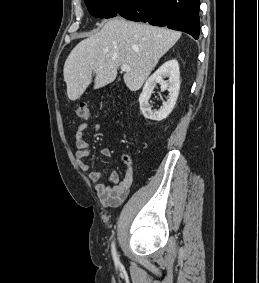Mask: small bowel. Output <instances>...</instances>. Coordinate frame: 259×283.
<instances>
[{
  "mask_svg": "<svg viewBox=\"0 0 259 283\" xmlns=\"http://www.w3.org/2000/svg\"><path fill=\"white\" fill-rule=\"evenodd\" d=\"M90 129L97 131L99 129V125L97 123L91 125L80 124L77 127L75 133L76 163L78 167L88 176V178L95 183V190L103 204H120L128 196L133 180V167L130 163H128L124 177H121L117 171H112L109 174L108 182H101L103 174L102 171L93 170L90 165L84 161V158L89 153V145L85 139V135ZM100 152L104 157H111L112 155V151L107 147H103ZM104 170H107V167H104Z\"/></svg>",
  "mask_w": 259,
  "mask_h": 283,
  "instance_id": "1",
  "label": "small bowel"
}]
</instances>
